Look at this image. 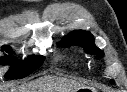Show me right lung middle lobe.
Segmentation results:
<instances>
[{
  "instance_id": "right-lung-middle-lobe-1",
  "label": "right lung middle lobe",
  "mask_w": 127,
  "mask_h": 92,
  "mask_svg": "<svg viewBox=\"0 0 127 92\" xmlns=\"http://www.w3.org/2000/svg\"><path fill=\"white\" fill-rule=\"evenodd\" d=\"M5 50H9V47L5 46ZM44 61L43 56L31 55L24 61L13 63V58L2 57L0 63H12L11 69L6 73L5 78L18 79L27 76L39 68Z\"/></svg>"
}]
</instances>
